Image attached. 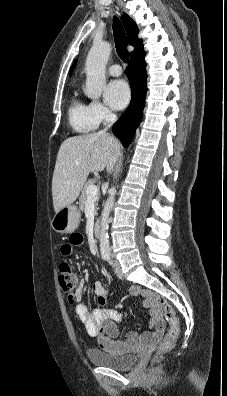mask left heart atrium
Listing matches in <instances>:
<instances>
[{"mask_svg": "<svg viewBox=\"0 0 227 396\" xmlns=\"http://www.w3.org/2000/svg\"><path fill=\"white\" fill-rule=\"evenodd\" d=\"M106 102L114 109H123L130 100V89L128 84L121 80H113L105 89Z\"/></svg>", "mask_w": 227, "mask_h": 396, "instance_id": "obj_1", "label": "left heart atrium"}]
</instances>
